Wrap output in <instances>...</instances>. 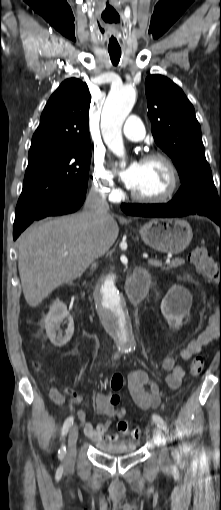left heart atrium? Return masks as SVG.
<instances>
[{
    "mask_svg": "<svg viewBox=\"0 0 221 510\" xmlns=\"http://www.w3.org/2000/svg\"><path fill=\"white\" fill-rule=\"evenodd\" d=\"M140 169L141 162L135 160L120 172L121 179L127 188L131 190L134 188L139 178Z\"/></svg>",
    "mask_w": 221,
    "mask_h": 510,
    "instance_id": "obj_1",
    "label": "left heart atrium"
}]
</instances>
